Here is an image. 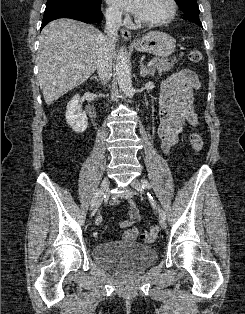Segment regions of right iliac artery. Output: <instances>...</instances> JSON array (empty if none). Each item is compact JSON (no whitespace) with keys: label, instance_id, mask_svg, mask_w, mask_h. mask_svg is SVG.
Listing matches in <instances>:
<instances>
[{"label":"right iliac artery","instance_id":"82829eb1","mask_svg":"<svg viewBox=\"0 0 245 314\" xmlns=\"http://www.w3.org/2000/svg\"><path fill=\"white\" fill-rule=\"evenodd\" d=\"M99 192H100V190L96 192V196L94 197V199H93L92 202H91V209H92V208L95 206V204H96V198H97Z\"/></svg>","mask_w":245,"mask_h":314}]
</instances>
